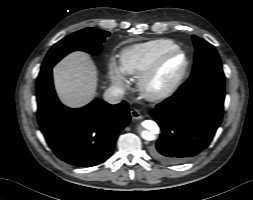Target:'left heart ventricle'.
Returning a JSON list of instances; mask_svg holds the SVG:
<instances>
[{"label":"left heart ventricle","instance_id":"obj_1","mask_svg":"<svg viewBox=\"0 0 253 200\" xmlns=\"http://www.w3.org/2000/svg\"><path fill=\"white\" fill-rule=\"evenodd\" d=\"M183 65V57L175 55L168 58L160 67L154 77L151 86L154 89H160L166 86L180 71Z\"/></svg>","mask_w":253,"mask_h":200}]
</instances>
